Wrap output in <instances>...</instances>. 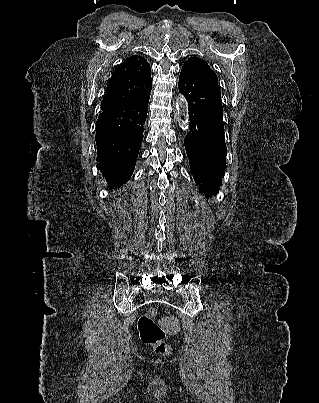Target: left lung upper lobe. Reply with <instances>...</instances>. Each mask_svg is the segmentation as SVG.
Returning a JSON list of instances; mask_svg holds the SVG:
<instances>
[{
  "label": "left lung upper lobe",
  "instance_id": "left-lung-upper-lobe-1",
  "mask_svg": "<svg viewBox=\"0 0 319 403\" xmlns=\"http://www.w3.org/2000/svg\"><path fill=\"white\" fill-rule=\"evenodd\" d=\"M183 66L189 67L195 71L205 74L215 80H218L214 71L208 66L206 61L198 57H190Z\"/></svg>",
  "mask_w": 319,
  "mask_h": 403
}]
</instances>
